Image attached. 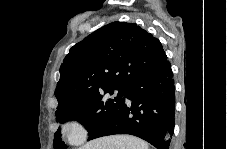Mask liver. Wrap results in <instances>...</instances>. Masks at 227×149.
Segmentation results:
<instances>
[{
	"mask_svg": "<svg viewBox=\"0 0 227 149\" xmlns=\"http://www.w3.org/2000/svg\"><path fill=\"white\" fill-rule=\"evenodd\" d=\"M80 149H149V146L135 136L111 135L90 141Z\"/></svg>",
	"mask_w": 227,
	"mask_h": 149,
	"instance_id": "1",
	"label": "liver"
}]
</instances>
